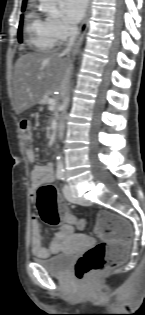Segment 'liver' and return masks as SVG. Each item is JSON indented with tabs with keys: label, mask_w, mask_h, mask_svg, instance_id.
<instances>
[{
	"label": "liver",
	"mask_w": 145,
	"mask_h": 315,
	"mask_svg": "<svg viewBox=\"0 0 145 315\" xmlns=\"http://www.w3.org/2000/svg\"><path fill=\"white\" fill-rule=\"evenodd\" d=\"M68 60L55 51L27 53L18 58L13 77L12 106L17 115L39 103L44 94L60 90Z\"/></svg>",
	"instance_id": "liver-1"
}]
</instances>
